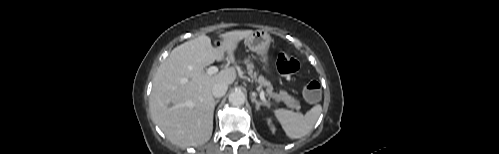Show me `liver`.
<instances>
[{"mask_svg": "<svg viewBox=\"0 0 499 154\" xmlns=\"http://www.w3.org/2000/svg\"><path fill=\"white\" fill-rule=\"evenodd\" d=\"M253 33L235 30L219 35L220 46L213 47L206 35H200L174 48L159 66L150 94L153 121L166 137L181 147L206 143L213 131L215 100L212 88L217 83L231 85L237 75L227 68L216 75L205 69L227 54L234 64L238 44Z\"/></svg>", "mask_w": 499, "mask_h": 154, "instance_id": "6515ba94", "label": "liver"}]
</instances>
